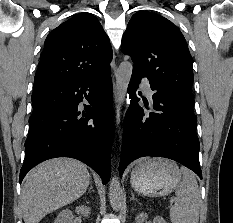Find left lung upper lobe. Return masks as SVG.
Instances as JSON below:
<instances>
[{"label": "left lung upper lobe", "mask_w": 233, "mask_h": 223, "mask_svg": "<svg viewBox=\"0 0 233 223\" xmlns=\"http://www.w3.org/2000/svg\"><path fill=\"white\" fill-rule=\"evenodd\" d=\"M133 69L146 76L160 95L193 99V59L185 38L168 19L148 11L135 13L122 39Z\"/></svg>", "instance_id": "left-lung-upper-lobe-1"}]
</instances>
